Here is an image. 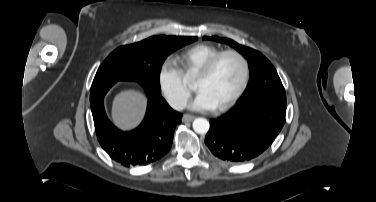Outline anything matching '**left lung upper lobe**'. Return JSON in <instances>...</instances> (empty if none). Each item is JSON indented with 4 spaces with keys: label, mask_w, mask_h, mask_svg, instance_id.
Instances as JSON below:
<instances>
[{
    "label": "left lung upper lobe",
    "mask_w": 376,
    "mask_h": 202,
    "mask_svg": "<svg viewBox=\"0 0 376 202\" xmlns=\"http://www.w3.org/2000/svg\"><path fill=\"white\" fill-rule=\"evenodd\" d=\"M203 39L229 44L248 59L250 81L240 104H247L260 98H265L282 105H287L285 90L281 80L273 65L261 53L227 38L213 36L204 37Z\"/></svg>",
    "instance_id": "left-lung-upper-lobe-1"
}]
</instances>
